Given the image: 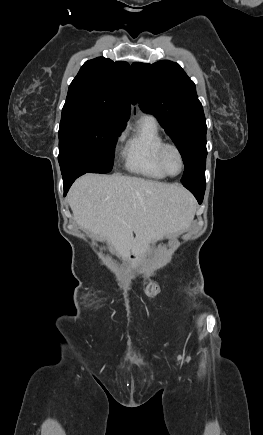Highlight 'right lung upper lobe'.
<instances>
[{
    "label": "right lung upper lobe",
    "instance_id": "cb5924a9",
    "mask_svg": "<svg viewBox=\"0 0 263 435\" xmlns=\"http://www.w3.org/2000/svg\"><path fill=\"white\" fill-rule=\"evenodd\" d=\"M136 103L130 65L98 57L84 63L71 82L62 110L82 109L126 126Z\"/></svg>",
    "mask_w": 263,
    "mask_h": 435
}]
</instances>
